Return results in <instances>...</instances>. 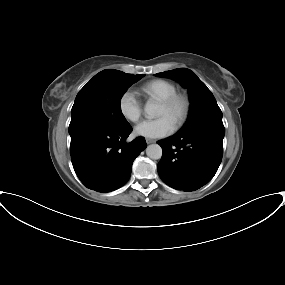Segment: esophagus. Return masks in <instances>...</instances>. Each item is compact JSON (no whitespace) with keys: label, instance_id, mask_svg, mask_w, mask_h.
<instances>
[{"label":"esophagus","instance_id":"34e87169","mask_svg":"<svg viewBox=\"0 0 285 285\" xmlns=\"http://www.w3.org/2000/svg\"><path fill=\"white\" fill-rule=\"evenodd\" d=\"M154 142H156V141L153 140V139L146 138V143L147 144H151V143H154Z\"/></svg>","mask_w":285,"mask_h":285}]
</instances>
